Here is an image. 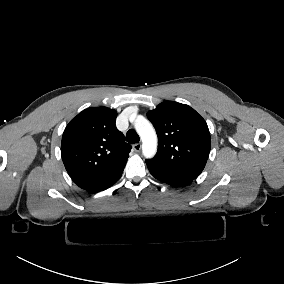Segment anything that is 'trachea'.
Wrapping results in <instances>:
<instances>
[{"mask_svg": "<svg viewBox=\"0 0 284 284\" xmlns=\"http://www.w3.org/2000/svg\"><path fill=\"white\" fill-rule=\"evenodd\" d=\"M126 141L128 143L134 144L139 142V136L137 132L134 129L128 130L126 134Z\"/></svg>", "mask_w": 284, "mask_h": 284, "instance_id": "3493384b", "label": "trachea"}]
</instances>
